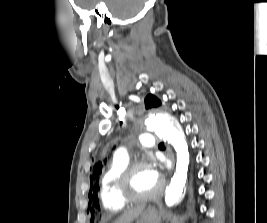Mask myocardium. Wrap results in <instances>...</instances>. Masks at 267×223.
Instances as JSON below:
<instances>
[{
    "mask_svg": "<svg viewBox=\"0 0 267 223\" xmlns=\"http://www.w3.org/2000/svg\"><path fill=\"white\" fill-rule=\"evenodd\" d=\"M141 167L152 168L151 161L148 158H140L129 162L121 171L117 178L116 189L120 198L126 203H141L156 199L162 192L163 184L159 182L157 189L151 193L138 195L130 190V182L133 174Z\"/></svg>",
    "mask_w": 267,
    "mask_h": 223,
    "instance_id": "obj_1",
    "label": "myocardium"
}]
</instances>
